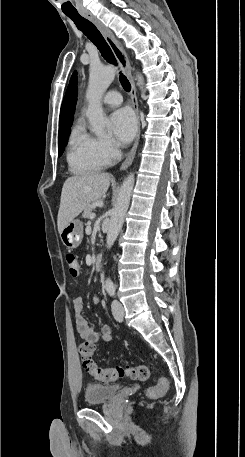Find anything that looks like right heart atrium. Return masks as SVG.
I'll return each mask as SVG.
<instances>
[{"label":"right heart atrium","mask_w":245,"mask_h":457,"mask_svg":"<svg viewBox=\"0 0 245 457\" xmlns=\"http://www.w3.org/2000/svg\"><path fill=\"white\" fill-rule=\"evenodd\" d=\"M93 143L97 152L107 162L114 161L119 156V148L113 140H104L101 138H93Z\"/></svg>","instance_id":"obj_1"}]
</instances>
